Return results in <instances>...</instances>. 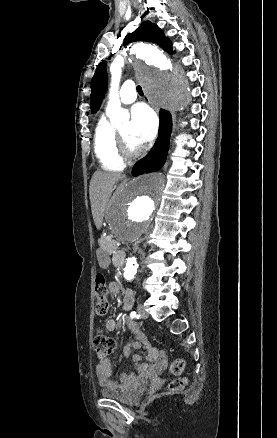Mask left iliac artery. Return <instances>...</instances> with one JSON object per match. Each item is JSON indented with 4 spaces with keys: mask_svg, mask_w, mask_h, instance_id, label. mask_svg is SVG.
<instances>
[{
    "mask_svg": "<svg viewBox=\"0 0 277 438\" xmlns=\"http://www.w3.org/2000/svg\"><path fill=\"white\" fill-rule=\"evenodd\" d=\"M130 317L131 318H139L140 315H138L135 311H133V312H131Z\"/></svg>",
    "mask_w": 277,
    "mask_h": 438,
    "instance_id": "1",
    "label": "left iliac artery"
}]
</instances>
